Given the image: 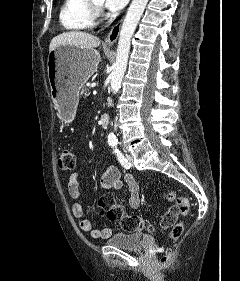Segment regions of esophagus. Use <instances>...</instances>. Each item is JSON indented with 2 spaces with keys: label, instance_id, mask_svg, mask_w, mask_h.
I'll return each mask as SVG.
<instances>
[{
  "label": "esophagus",
  "instance_id": "esophagus-1",
  "mask_svg": "<svg viewBox=\"0 0 240 281\" xmlns=\"http://www.w3.org/2000/svg\"><path fill=\"white\" fill-rule=\"evenodd\" d=\"M123 19L119 20L110 30L107 37L105 38V45L112 46L119 36L120 28L122 25Z\"/></svg>",
  "mask_w": 240,
  "mask_h": 281
}]
</instances>
